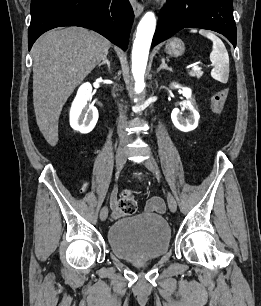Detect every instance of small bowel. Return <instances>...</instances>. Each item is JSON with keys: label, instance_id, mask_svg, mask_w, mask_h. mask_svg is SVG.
Here are the masks:
<instances>
[{"label": "small bowel", "instance_id": "obj_1", "mask_svg": "<svg viewBox=\"0 0 261 306\" xmlns=\"http://www.w3.org/2000/svg\"><path fill=\"white\" fill-rule=\"evenodd\" d=\"M111 206L113 209L114 216H119L120 211L117 208L116 199L112 198L111 200ZM146 209L148 211L163 213L165 211V204L164 201L160 197H152L148 200Z\"/></svg>", "mask_w": 261, "mask_h": 306}]
</instances>
